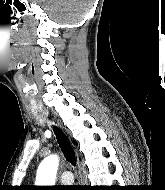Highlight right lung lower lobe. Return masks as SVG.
Segmentation results:
<instances>
[{
  "mask_svg": "<svg viewBox=\"0 0 165 190\" xmlns=\"http://www.w3.org/2000/svg\"><path fill=\"white\" fill-rule=\"evenodd\" d=\"M84 190H91L90 188L86 187Z\"/></svg>",
  "mask_w": 165,
  "mask_h": 190,
  "instance_id": "obj_1",
  "label": "right lung lower lobe"
}]
</instances>
